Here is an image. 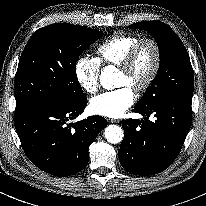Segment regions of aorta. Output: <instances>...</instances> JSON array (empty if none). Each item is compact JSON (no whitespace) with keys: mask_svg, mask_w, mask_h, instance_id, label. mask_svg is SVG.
<instances>
[{"mask_svg":"<svg viewBox=\"0 0 206 206\" xmlns=\"http://www.w3.org/2000/svg\"><path fill=\"white\" fill-rule=\"evenodd\" d=\"M115 71L116 70L113 66H107L101 72L100 83L104 88L108 89L114 85L113 79ZM104 136L109 143L117 144L123 140L124 133L118 125H109L105 128Z\"/></svg>","mask_w":206,"mask_h":206,"instance_id":"aorta-1","label":"aorta"}]
</instances>
